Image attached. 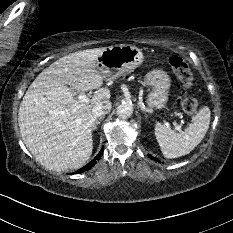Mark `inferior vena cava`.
Returning <instances> with one entry per match:
<instances>
[{
  "instance_id": "1",
  "label": "inferior vena cava",
  "mask_w": 233,
  "mask_h": 233,
  "mask_svg": "<svg viewBox=\"0 0 233 233\" xmlns=\"http://www.w3.org/2000/svg\"><path fill=\"white\" fill-rule=\"evenodd\" d=\"M111 108H112V104L110 101L98 103L92 109L93 116L96 118L105 115L108 112H110Z\"/></svg>"
}]
</instances>
